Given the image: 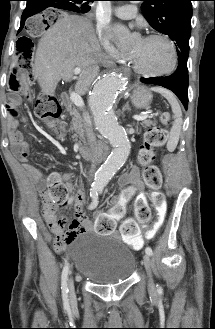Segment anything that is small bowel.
Returning <instances> with one entry per match:
<instances>
[{
  "label": "small bowel",
  "mask_w": 215,
  "mask_h": 329,
  "mask_svg": "<svg viewBox=\"0 0 215 329\" xmlns=\"http://www.w3.org/2000/svg\"><path fill=\"white\" fill-rule=\"evenodd\" d=\"M8 134L12 141L14 153L26 165L32 177L37 181L49 183L50 177L43 175L39 169L29 163L30 146L26 142L24 134L18 129V123L15 119L8 121ZM58 176L68 183L69 191L72 192L74 187L70 182L71 175L63 174ZM118 184L120 192H117L113 198L109 212L97 211L95 213L96 216H99V219H109L94 220L96 236H111L112 232H116V227L122 226V221L119 217L124 215L125 210H131L128 213L129 218H150L151 216V206H148V201H146L148 199V187H144L136 168L122 173L118 178ZM79 194L82 199V192H79ZM42 196V214L45 222L52 229V225L62 221L64 217L45 202L43 191ZM71 223L74 224V228L71 230L69 242L66 244L74 241L78 234L93 230L92 221L82 211L77 213L76 218ZM127 242L133 249L139 250L143 247L145 240L139 236L133 240H127ZM66 244H57V238L54 241V247L58 252H61Z\"/></svg>",
  "instance_id": "small-bowel-1"
}]
</instances>
